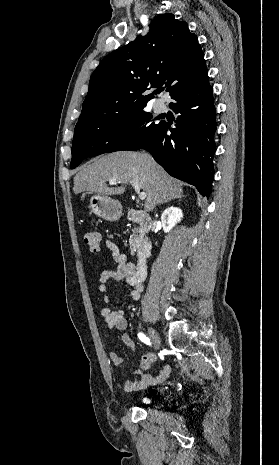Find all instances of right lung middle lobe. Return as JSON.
I'll use <instances>...</instances> for the list:
<instances>
[{
    "label": "right lung middle lobe",
    "mask_w": 279,
    "mask_h": 465,
    "mask_svg": "<svg viewBox=\"0 0 279 465\" xmlns=\"http://www.w3.org/2000/svg\"><path fill=\"white\" fill-rule=\"evenodd\" d=\"M139 108L127 113L110 114L99 122L75 127L70 168L85 158L142 146L154 138L164 122L155 124L152 115Z\"/></svg>",
    "instance_id": "obj_1"
}]
</instances>
